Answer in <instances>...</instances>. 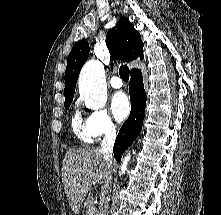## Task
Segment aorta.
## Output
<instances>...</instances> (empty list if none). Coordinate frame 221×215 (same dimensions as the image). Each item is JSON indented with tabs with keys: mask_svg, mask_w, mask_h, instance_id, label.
I'll use <instances>...</instances> for the list:
<instances>
[{
	"mask_svg": "<svg viewBox=\"0 0 221 215\" xmlns=\"http://www.w3.org/2000/svg\"><path fill=\"white\" fill-rule=\"evenodd\" d=\"M79 93L92 109H102L107 102L106 76L102 63L98 60L88 61L79 76ZM131 155L128 153L120 166L119 175H123L128 167Z\"/></svg>",
	"mask_w": 221,
	"mask_h": 215,
	"instance_id": "762f6f07",
	"label": "aorta"
}]
</instances>
